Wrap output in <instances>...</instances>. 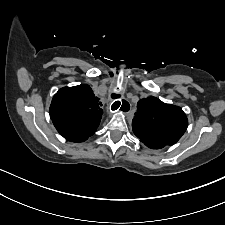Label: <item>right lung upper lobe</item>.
I'll return each instance as SVG.
<instances>
[{"label": "right lung upper lobe", "mask_w": 225, "mask_h": 225, "mask_svg": "<svg viewBox=\"0 0 225 225\" xmlns=\"http://www.w3.org/2000/svg\"><path fill=\"white\" fill-rule=\"evenodd\" d=\"M90 86L63 87L54 95L49 109L57 131L68 141L83 142L94 134L103 110Z\"/></svg>", "instance_id": "1"}]
</instances>
